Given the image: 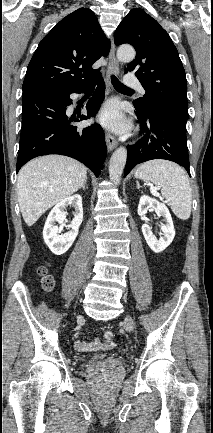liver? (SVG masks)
Segmentation results:
<instances>
[{
	"instance_id": "liver-1",
	"label": "liver",
	"mask_w": 213,
	"mask_h": 433,
	"mask_svg": "<svg viewBox=\"0 0 213 433\" xmlns=\"http://www.w3.org/2000/svg\"><path fill=\"white\" fill-rule=\"evenodd\" d=\"M87 180V168L62 155L38 157L18 173L17 195L22 217L32 226L49 208L68 198Z\"/></svg>"
}]
</instances>
